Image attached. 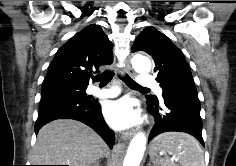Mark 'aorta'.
<instances>
[{"instance_id":"obj_1","label":"aorta","mask_w":236,"mask_h":166,"mask_svg":"<svg viewBox=\"0 0 236 166\" xmlns=\"http://www.w3.org/2000/svg\"><path fill=\"white\" fill-rule=\"evenodd\" d=\"M134 70L141 74L151 70L150 60L142 55H135L131 60ZM146 149V137L144 133L136 134L130 142L123 166H139Z\"/></svg>"}]
</instances>
